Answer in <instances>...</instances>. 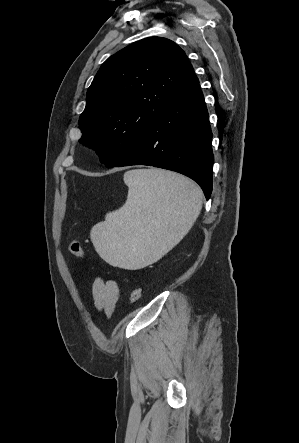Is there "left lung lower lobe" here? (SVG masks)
<instances>
[{
  "label": "left lung lower lobe",
  "mask_w": 299,
  "mask_h": 443,
  "mask_svg": "<svg viewBox=\"0 0 299 443\" xmlns=\"http://www.w3.org/2000/svg\"><path fill=\"white\" fill-rule=\"evenodd\" d=\"M212 132L194 75L134 146L113 167L148 165L186 175L208 200L212 192Z\"/></svg>",
  "instance_id": "1"
}]
</instances>
